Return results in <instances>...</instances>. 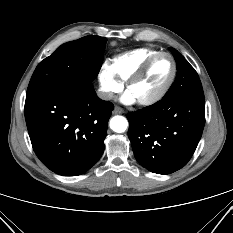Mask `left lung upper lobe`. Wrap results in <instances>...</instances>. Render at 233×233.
<instances>
[{
    "label": "left lung upper lobe",
    "mask_w": 233,
    "mask_h": 233,
    "mask_svg": "<svg viewBox=\"0 0 233 233\" xmlns=\"http://www.w3.org/2000/svg\"><path fill=\"white\" fill-rule=\"evenodd\" d=\"M177 63V76L163 99L178 97L204 98L199 76L188 61L174 48H170Z\"/></svg>",
    "instance_id": "5c2ea615"
}]
</instances>
